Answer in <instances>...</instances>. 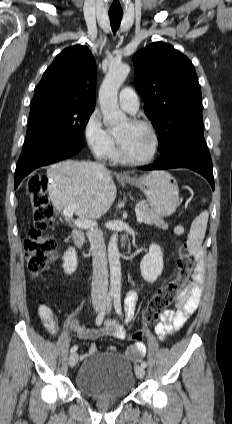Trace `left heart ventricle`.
Listing matches in <instances>:
<instances>
[{"label":"left heart ventricle","mask_w":232,"mask_h":424,"mask_svg":"<svg viewBox=\"0 0 232 424\" xmlns=\"http://www.w3.org/2000/svg\"><path fill=\"white\" fill-rule=\"evenodd\" d=\"M115 135L120 140L124 153L131 158H144L152 150L150 133L145 128L131 124L130 121L120 125Z\"/></svg>","instance_id":"left-heart-ventricle-1"}]
</instances>
